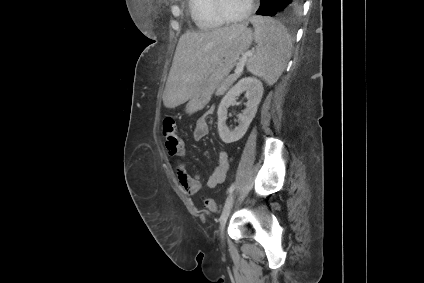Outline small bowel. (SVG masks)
<instances>
[{
    "label": "small bowel",
    "mask_w": 424,
    "mask_h": 283,
    "mask_svg": "<svg viewBox=\"0 0 424 283\" xmlns=\"http://www.w3.org/2000/svg\"><path fill=\"white\" fill-rule=\"evenodd\" d=\"M213 109L210 110L212 112ZM209 132V126L207 123V117L206 115L200 117L195 122L194 128H193V137L195 140H201L204 138ZM166 148L168 150V153L172 156H181V154H171V146H168L167 144ZM175 153V152H174ZM230 166V154L228 151L222 150L218 154V162L215 168L213 169L212 173L208 176L206 180V185L209 188H215L218 185L225 182L227 178V173ZM176 177L178 179L179 184L184 189V191L189 195H194L198 191H200L202 187V181L200 177L197 174H191L188 169L187 165L184 162H179L176 167Z\"/></svg>",
    "instance_id": "obj_1"
}]
</instances>
